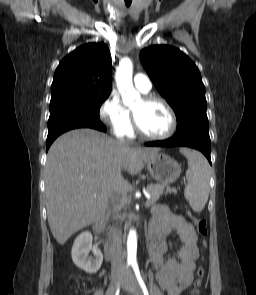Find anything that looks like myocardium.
<instances>
[{
	"label": "myocardium",
	"mask_w": 256,
	"mask_h": 295,
	"mask_svg": "<svg viewBox=\"0 0 256 295\" xmlns=\"http://www.w3.org/2000/svg\"><path fill=\"white\" fill-rule=\"evenodd\" d=\"M143 101L146 103H159L165 107L170 117V127L168 131L162 135H150L144 132L137 123L136 117L132 112V127L133 131L141 138L151 141H161L170 138L177 128V118L172 106L162 97L149 95L143 98Z\"/></svg>",
	"instance_id": "myocardium-1"
}]
</instances>
